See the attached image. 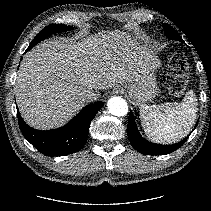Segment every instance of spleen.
Masks as SVG:
<instances>
[{
    "label": "spleen",
    "instance_id": "spleen-1",
    "mask_svg": "<svg viewBox=\"0 0 211 211\" xmlns=\"http://www.w3.org/2000/svg\"><path fill=\"white\" fill-rule=\"evenodd\" d=\"M197 99L193 91L180 103L141 105L140 119L147 136L157 143H175L191 131L197 116Z\"/></svg>",
    "mask_w": 211,
    "mask_h": 211
}]
</instances>
